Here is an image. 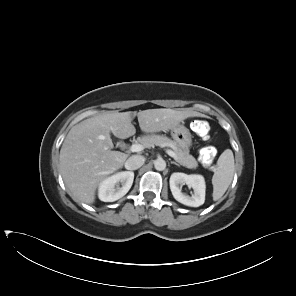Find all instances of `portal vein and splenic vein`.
<instances>
[{"label":"portal vein and splenic vein","mask_w":296,"mask_h":296,"mask_svg":"<svg viewBox=\"0 0 296 296\" xmlns=\"http://www.w3.org/2000/svg\"><path fill=\"white\" fill-rule=\"evenodd\" d=\"M144 148H145V146L143 144H133V145H131L130 150L132 152H140ZM166 153L176 160V154L172 150L168 149V150H166Z\"/></svg>","instance_id":"1"}]
</instances>
